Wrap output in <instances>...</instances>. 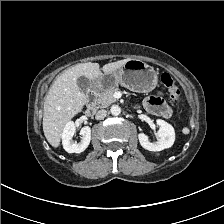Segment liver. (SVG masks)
I'll use <instances>...</instances> for the list:
<instances>
[{
    "label": "liver",
    "mask_w": 224,
    "mask_h": 224,
    "mask_svg": "<svg viewBox=\"0 0 224 224\" xmlns=\"http://www.w3.org/2000/svg\"><path fill=\"white\" fill-rule=\"evenodd\" d=\"M128 60L105 64L102 71H116ZM100 75L102 72L99 64L88 62L69 68L53 82L46 96L43 112V131L51 146L56 148L60 145L65 125L82 111L86 103L87 98L77 85L78 77L85 76L95 81Z\"/></svg>",
    "instance_id": "1"
}]
</instances>
